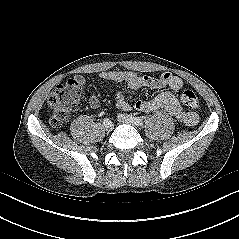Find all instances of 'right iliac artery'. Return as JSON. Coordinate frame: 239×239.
<instances>
[{
  "label": "right iliac artery",
  "mask_w": 239,
  "mask_h": 239,
  "mask_svg": "<svg viewBox=\"0 0 239 239\" xmlns=\"http://www.w3.org/2000/svg\"><path fill=\"white\" fill-rule=\"evenodd\" d=\"M104 124L109 126H115V121H111V119H104Z\"/></svg>",
  "instance_id": "82829eb1"
}]
</instances>
